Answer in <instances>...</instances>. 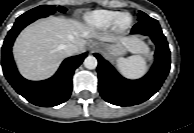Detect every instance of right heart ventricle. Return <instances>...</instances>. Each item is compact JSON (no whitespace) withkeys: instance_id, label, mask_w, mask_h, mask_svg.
Returning a JSON list of instances; mask_svg holds the SVG:
<instances>
[{"instance_id":"right-heart-ventricle-1","label":"right heart ventricle","mask_w":194,"mask_h":133,"mask_svg":"<svg viewBox=\"0 0 194 133\" xmlns=\"http://www.w3.org/2000/svg\"><path fill=\"white\" fill-rule=\"evenodd\" d=\"M120 11L99 9L88 14L87 23L97 29L106 30L113 26L115 18Z\"/></svg>"}]
</instances>
